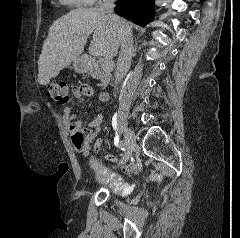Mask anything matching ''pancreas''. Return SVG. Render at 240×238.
I'll use <instances>...</instances> for the list:
<instances>
[{
    "mask_svg": "<svg viewBox=\"0 0 240 238\" xmlns=\"http://www.w3.org/2000/svg\"><path fill=\"white\" fill-rule=\"evenodd\" d=\"M97 79L103 80V73L100 74Z\"/></svg>",
    "mask_w": 240,
    "mask_h": 238,
    "instance_id": "obj_1",
    "label": "pancreas"
}]
</instances>
